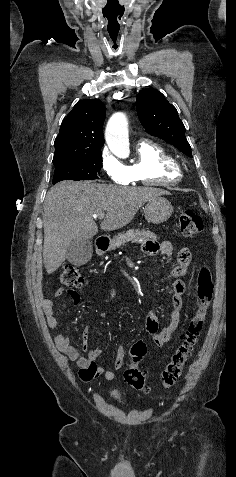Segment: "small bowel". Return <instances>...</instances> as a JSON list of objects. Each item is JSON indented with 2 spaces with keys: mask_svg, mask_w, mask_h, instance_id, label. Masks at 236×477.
<instances>
[{
  "mask_svg": "<svg viewBox=\"0 0 236 477\" xmlns=\"http://www.w3.org/2000/svg\"><path fill=\"white\" fill-rule=\"evenodd\" d=\"M143 251L149 256L160 254L165 259H170L175 253L174 244L171 241L165 240L161 243L148 241L143 245ZM191 262V252L188 248H182L177 254V265L171 272V277L174 278L173 292L171 295L172 311L169 316L167 325L159 330L158 319L154 314H149L145 321V328L153 337V342L156 347H163L171 339L172 334L177 330L181 321V310L183 307V295L185 293L184 284L178 280L179 277L186 274ZM64 294L63 289H58L54 293V298L58 299ZM117 294V288L112 286L105 297V302H110ZM74 303L79 301L77 295H72ZM43 313L46 317L47 325L51 330L58 328V321L55 316L54 300L45 299L41 303ZM91 332V327H86L82 334L83 351L86 353L82 355L78 349L70 344L69 339L61 334L54 335L53 340L60 352L67 356L71 361H75L79 366V377L82 381L87 382L97 377H104L106 380H113L115 372L113 370H105L96 364V359L101 355L102 350L99 348L89 349L88 341ZM125 347L118 346L114 359V368L120 369L125 358Z\"/></svg>",
  "mask_w": 236,
  "mask_h": 477,
  "instance_id": "small-bowel-1",
  "label": "small bowel"
}]
</instances>
